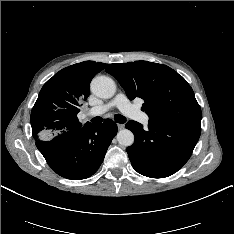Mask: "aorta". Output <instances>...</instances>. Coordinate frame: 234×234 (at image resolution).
<instances>
[{"label": "aorta", "instance_id": "obj_1", "mask_svg": "<svg viewBox=\"0 0 234 234\" xmlns=\"http://www.w3.org/2000/svg\"><path fill=\"white\" fill-rule=\"evenodd\" d=\"M91 91L97 97L109 99L116 92V84L110 77L97 76L91 82ZM117 141L122 146H131L134 143V134L128 129H122L117 133Z\"/></svg>", "mask_w": 234, "mask_h": 234}]
</instances>
